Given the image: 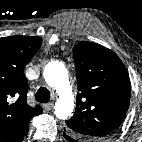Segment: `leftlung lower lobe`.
<instances>
[{"label":"left lung lower lobe","mask_w":142,"mask_h":142,"mask_svg":"<svg viewBox=\"0 0 142 142\" xmlns=\"http://www.w3.org/2000/svg\"><path fill=\"white\" fill-rule=\"evenodd\" d=\"M64 137L68 142H77L70 134H68L66 131L64 133Z\"/></svg>","instance_id":"0a47b994"}]
</instances>
